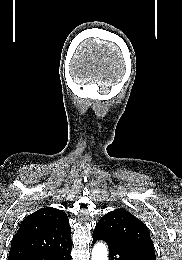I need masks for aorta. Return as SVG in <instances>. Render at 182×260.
Wrapping results in <instances>:
<instances>
[{
	"label": "aorta",
	"mask_w": 182,
	"mask_h": 260,
	"mask_svg": "<svg viewBox=\"0 0 182 260\" xmlns=\"http://www.w3.org/2000/svg\"><path fill=\"white\" fill-rule=\"evenodd\" d=\"M91 260H108V248L104 243L99 242L94 245Z\"/></svg>",
	"instance_id": "aorta-1"
}]
</instances>
